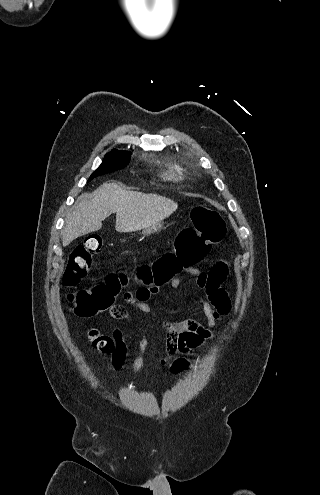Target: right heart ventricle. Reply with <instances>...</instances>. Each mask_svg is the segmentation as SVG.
<instances>
[{"mask_svg": "<svg viewBox=\"0 0 320 495\" xmlns=\"http://www.w3.org/2000/svg\"><path fill=\"white\" fill-rule=\"evenodd\" d=\"M164 170H166L168 176H176L178 178H183L187 174L185 166L177 162L165 164Z\"/></svg>", "mask_w": 320, "mask_h": 495, "instance_id": "right-heart-ventricle-1", "label": "right heart ventricle"}]
</instances>
